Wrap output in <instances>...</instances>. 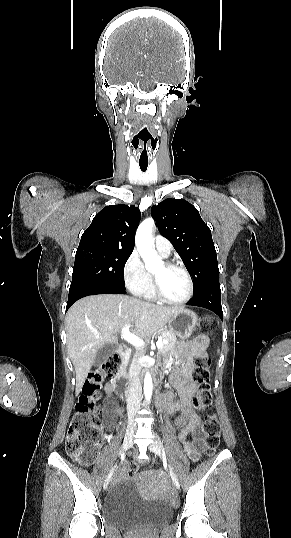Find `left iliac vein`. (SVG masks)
<instances>
[{
	"label": "left iliac vein",
	"mask_w": 291,
	"mask_h": 538,
	"mask_svg": "<svg viewBox=\"0 0 291 538\" xmlns=\"http://www.w3.org/2000/svg\"><path fill=\"white\" fill-rule=\"evenodd\" d=\"M149 449L154 452L155 454L159 455V456H163L162 454V449H161V446L159 445V443L157 441H153L150 446H149ZM169 472H170V475H171V478H172V481L175 485L176 488H179V480H178V477L177 475L175 474L173 468L169 465Z\"/></svg>",
	"instance_id": "left-iliac-vein-1"
}]
</instances>
